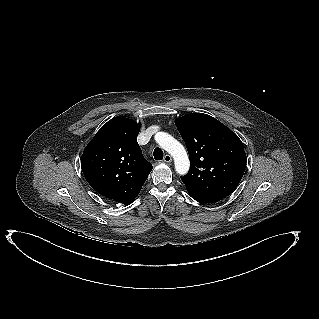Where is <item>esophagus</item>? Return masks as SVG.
<instances>
[{
    "mask_svg": "<svg viewBox=\"0 0 319 319\" xmlns=\"http://www.w3.org/2000/svg\"><path fill=\"white\" fill-rule=\"evenodd\" d=\"M164 162L170 163L172 162V157L169 154H166L163 159Z\"/></svg>",
    "mask_w": 319,
    "mask_h": 319,
    "instance_id": "34e87169",
    "label": "esophagus"
}]
</instances>
